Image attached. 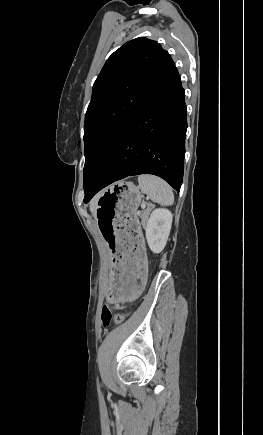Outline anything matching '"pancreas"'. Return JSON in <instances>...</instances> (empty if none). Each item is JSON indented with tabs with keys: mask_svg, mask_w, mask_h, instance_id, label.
I'll use <instances>...</instances> for the list:
<instances>
[{
	"mask_svg": "<svg viewBox=\"0 0 263 435\" xmlns=\"http://www.w3.org/2000/svg\"><path fill=\"white\" fill-rule=\"evenodd\" d=\"M151 209H152V205L149 204L147 206V208L142 213L139 214L143 226L146 225V222L148 220V216H149V213H150Z\"/></svg>",
	"mask_w": 263,
	"mask_h": 435,
	"instance_id": "cf45deb5",
	"label": "pancreas"
}]
</instances>
